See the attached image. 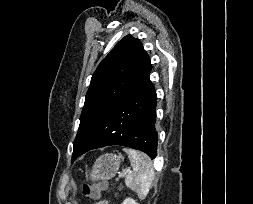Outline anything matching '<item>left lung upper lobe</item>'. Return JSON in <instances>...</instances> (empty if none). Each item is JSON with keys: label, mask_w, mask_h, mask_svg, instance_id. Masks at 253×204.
Here are the masks:
<instances>
[{"label": "left lung upper lobe", "mask_w": 253, "mask_h": 204, "mask_svg": "<svg viewBox=\"0 0 253 204\" xmlns=\"http://www.w3.org/2000/svg\"><path fill=\"white\" fill-rule=\"evenodd\" d=\"M150 71V58L139 39L127 35L116 44L91 78L72 158L88 143L94 124L124 101Z\"/></svg>", "instance_id": "1"}]
</instances>
